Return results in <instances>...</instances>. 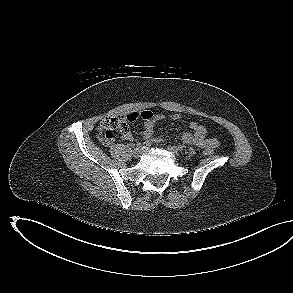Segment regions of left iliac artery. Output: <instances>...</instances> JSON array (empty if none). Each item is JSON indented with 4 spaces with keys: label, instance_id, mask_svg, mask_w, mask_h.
Listing matches in <instances>:
<instances>
[{
    "label": "left iliac artery",
    "instance_id": "44dca946",
    "mask_svg": "<svg viewBox=\"0 0 293 293\" xmlns=\"http://www.w3.org/2000/svg\"><path fill=\"white\" fill-rule=\"evenodd\" d=\"M178 149H179L180 151H183L184 146H183V145H180V146L178 147Z\"/></svg>",
    "mask_w": 293,
    "mask_h": 293
}]
</instances>
